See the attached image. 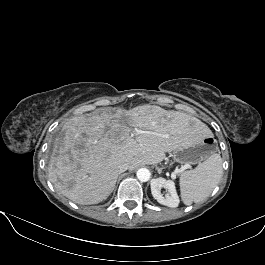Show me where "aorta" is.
<instances>
[{"mask_svg":"<svg viewBox=\"0 0 265 265\" xmlns=\"http://www.w3.org/2000/svg\"><path fill=\"white\" fill-rule=\"evenodd\" d=\"M136 175L139 181L147 182L150 179L151 173L147 168H140Z\"/></svg>","mask_w":265,"mask_h":265,"instance_id":"762f6f07","label":"aorta"}]
</instances>
